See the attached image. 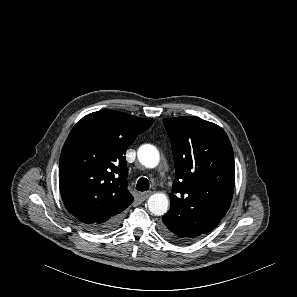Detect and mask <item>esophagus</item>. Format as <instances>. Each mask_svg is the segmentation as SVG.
I'll return each instance as SVG.
<instances>
[{
  "instance_id": "esophagus-1",
  "label": "esophagus",
  "mask_w": 297,
  "mask_h": 297,
  "mask_svg": "<svg viewBox=\"0 0 297 297\" xmlns=\"http://www.w3.org/2000/svg\"><path fill=\"white\" fill-rule=\"evenodd\" d=\"M151 194H152L151 191L142 192V193H140V198H141V200L145 201L146 199H148L151 196Z\"/></svg>"
}]
</instances>
